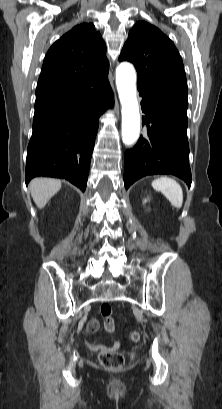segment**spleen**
<instances>
[{
	"mask_svg": "<svg viewBox=\"0 0 222 409\" xmlns=\"http://www.w3.org/2000/svg\"><path fill=\"white\" fill-rule=\"evenodd\" d=\"M152 187L160 191L174 206L181 208L183 204V191L178 182L172 178L161 177L152 182Z\"/></svg>",
	"mask_w": 222,
	"mask_h": 409,
	"instance_id": "3e777b00",
	"label": "spleen"
}]
</instances>
